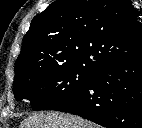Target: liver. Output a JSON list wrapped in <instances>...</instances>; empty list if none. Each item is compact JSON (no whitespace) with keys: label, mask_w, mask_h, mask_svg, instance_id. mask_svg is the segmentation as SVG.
<instances>
[{"label":"liver","mask_w":142,"mask_h":128,"mask_svg":"<svg viewBox=\"0 0 142 128\" xmlns=\"http://www.w3.org/2000/svg\"><path fill=\"white\" fill-rule=\"evenodd\" d=\"M19 128H98L76 115L48 112L34 113L25 118Z\"/></svg>","instance_id":"1"}]
</instances>
